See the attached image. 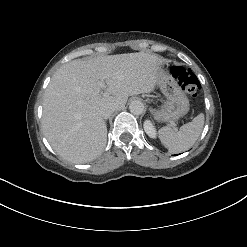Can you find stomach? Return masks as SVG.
<instances>
[{
	"label": "stomach",
	"instance_id": "1",
	"mask_svg": "<svg viewBox=\"0 0 247 247\" xmlns=\"http://www.w3.org/2000/svg\"><path fill=\"white\" fill-rule=\"evenodd\" d=\"M157 85L166 100L159 108L151 110L154 118L157 121L170 122L183 117L189 111V99L175 78L162 67L158 72Z\"/></svg>",
	"mask_w": 247,
	"mask_h": 247
}]
</instances>
